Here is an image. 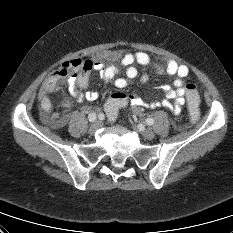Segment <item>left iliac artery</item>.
Segmentation results:
<instances>
[{"instance_id":"obj_1","label":"left iliac artery","mask_w":233,"mask_h":233,"mask_svg":"<svg viewBox=\"0 0 233 233\" xmlns=\"http://www.w3.org/2000/svg\"><path fill=\"white\" fill-rule=\"evenodd\" d=\"M146 124L151 126V125L154 124V120L152 118H147L146 119Z\"/></svg>"}]
</instances>
